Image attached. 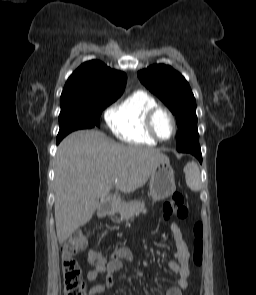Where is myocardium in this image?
<instances>
[{"instance_id": "f54148a6", "label": "myocardium", "mask_w": 256, "mask_h": 295, "mask_svg": "<svg viewBox=\"0 0 256 295\" xmlns=\"http://www.w3.org/2000/svg\"><path fill=\"white\" fill-rule=\"evenodd\" d=\"M159 113L166 114L172 122L173 131H172L171 136L168 139H163L162 137H160L155 129V119ZM145 125H146V129H147L148 133L158 142L170 141L171 139L174 138V136L177 133V129H178L177 121H176V118L173 115V113L169 109L159 106V105L148 111L146 118H145Z\"/></svg>"}]
</instances>
